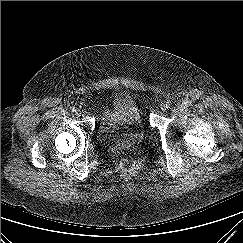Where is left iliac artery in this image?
Masks as SVG:
<instances>
[{
  "instance_id": "obj_1",
  "label": "left iliac artery",
  "mask_w": 243,
  "mask_h": 243,
  "mask_svg": "<svg viewBox=\"0 0 243 243\" xmlns=\"http://www.w3.org/2000/svg\"><path fill=\"white\" fill-rule=\"evenodd\" d=\"M171 106V102H166V107L169 108Z\"/></svg>"
}]
</instances>
